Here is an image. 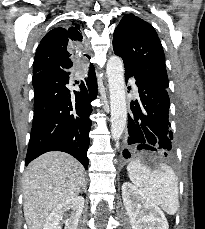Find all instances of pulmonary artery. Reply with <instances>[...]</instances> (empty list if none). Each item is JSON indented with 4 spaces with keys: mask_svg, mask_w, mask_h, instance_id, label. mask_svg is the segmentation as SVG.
I'll use <instances>...</instances> for the list:
<instances>
[{
    "mask_svg": "<svg viewBox=\"0 0 205 229\" xmlns=\"http://www.w3.org/2000/svg\"><path fill=\"white\" fill-rule=\"evenodd\" d=\"M131 84H132V87H133L134 92H137V87H136L134 81H131Z\"/></svg>",
    "mask_w": 205,
    "mask_h": 229,
    "instance_id": "1",
    "label": "pulmonary artery"
}]
</instances>
